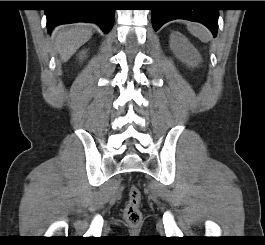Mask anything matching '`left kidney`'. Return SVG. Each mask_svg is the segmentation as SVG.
I'll return each instance as SVG.
<instances>
[{"instance_id":"obj_1","label":"left kidney","mask_w":265,"mask_h":245,"mask_svg":"<svg viewBox=\"0 0 265 245\" xmlns=\"http://www.w3.org/2000/svg\"><path fill=\"white\" fill-rule=\"evenodd\" d=\"M169 43L172 52L179 60L191 67L198 65L201 56L183 34L180 32H172Z\"/></svg>"}]
</instances>
